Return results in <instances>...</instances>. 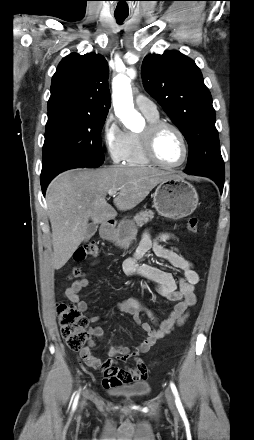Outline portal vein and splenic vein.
I'll use <instances>...</instances> for the list:
<instances>
[{
	"mask_svg": "<svg viewBox=\"0 0 254 440\" xmlns=\"http://www.w3.org/2000/svg\"><path fill=\"white\" fill-rule=\"evenodd\" d=\"M116 193H117V190H116V189H111V190L108 191V195H109V196H115Z\"/></svg>",
	"mask_w": 254,
	"mask_h": 440,
	"instance_id": "18ae733b",
	"label": "portal vein and splenic vein"
}]
</instances>
